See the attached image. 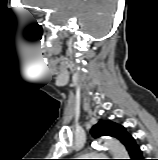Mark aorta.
<instances>
[{"label": "aorta", "instance_id": "1", "mask_svg": "<svg viewBox=\"0 0 158 160\" xmlns=\"http://www.w3.org/2000/svg\"><path fill=\"white\" fill-rule=\"evenodd\" d=\"M97 147L107 148L114 159H128L129 155L125 147L116 139L104 137L96 141Z\"/></svg>", "mask_w": 158, "mask_h": 160}]
</instances>
